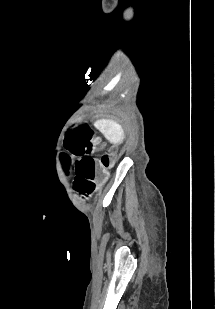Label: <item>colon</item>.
<instances>
[{"mask_svg": "<svg viewBox=\"0 0 215 309\" xmlns=\"http://www.w3.org/2000/svg\"><path fill=\"white\" fill-rule=\"evenodd\" d=\"M101 163L105 168H108L112 164V156L109 153H104L101 157Z\"/></svg>", "mask_w": 215, "mask_h": 309, "instance_id": "obj_1", "label": "colon"}]
</instances>
